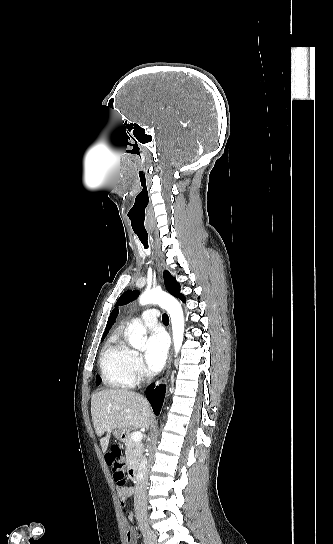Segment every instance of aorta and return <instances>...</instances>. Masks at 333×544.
Returning <instances> with one entry per match:
<instances>
[{
    "mask_svg": "<svg viewBox=\"0 0 333 544\" xmlns=\"http://www.w3.org/2000/svg\"><path fill=\"white\" fill-rule=\"evenodd\" d=\"M139 303L140 305L158 304L169 313L172 324L174 350L177 356L183 343L185 329L181 304L170 294L156 289L142 293L139 297ZM144 334L145 329L143 325L141 323L134 324L129 336L130 345L135 349L143 350Z\"/></svg>",
    "mask_w": 333,
    "mask_h": 544,
    "instance_id": "aorta-1",
    "label": "aorta"
}]
</instances>
